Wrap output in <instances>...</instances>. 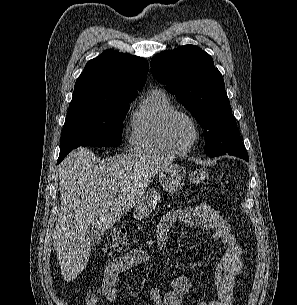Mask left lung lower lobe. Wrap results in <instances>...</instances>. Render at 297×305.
Masks as SVG:
<instances>
[{
  "mask_svg": "<svg viewBox=\"0 0 297 305\" xmlns=\"http://www.w3.org/2000/svg\"><path fill=\"white\" fill-rule=\"evenodd\" d=\"M239 157L243 158L246 161H249L248 154H241Z\"/></svg>",
  "mask_w": 297,
  "mask_h": 305,
  "instance_id": "1",
  "label": "left lung lower lobe"
}]
</instances>
